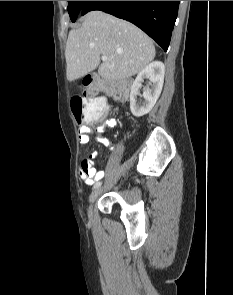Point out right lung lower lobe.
<instances>
[{
  "instance_id": "1",
  "label": "right lung lower lobe",
  "mask_w": 233,
  "mask_h": 295,
  "mask_svg": "<svg viewBox=\"0 0 233 295\" xmlns=\"http://www.w3.org/2000/svg\"><path fill=\"white\" fill-rule=\"evenodd\" d=\"M180 1H86L81 14L101 10L130 21L167 51Z\"/></svg>"
}]
</instances>
